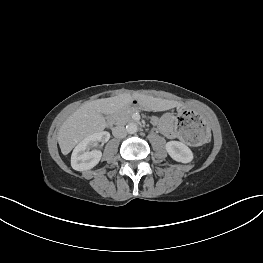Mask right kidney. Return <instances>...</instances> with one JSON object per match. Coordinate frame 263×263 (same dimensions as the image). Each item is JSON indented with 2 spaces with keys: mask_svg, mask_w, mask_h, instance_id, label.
<instances>
[{
  "mask_svg": "<svg viewBox=\"0 0 263 263\" xmlns=\"http://www.w3.org/2000/svg\"><path fill=\"white\" fill-rule=\"evenodd\" d=\"M109 138L110 134L106 131L97 132L84 138L72 152V168L77 171H85L96 166L102 157V152L96 149L90 151V149L97 146L98 143L103 145Z\"/></svg>",
  "mask_w": 263,
  "mask_h": 263,
  "instance_id": "1",
  "label": "right kidney"
}]
</instances>
